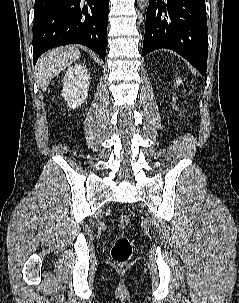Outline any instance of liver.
<instances>
[{
	"mask_svg": "<svg viewBox=\"0 0 239 303\" xmlns=\"http://www.w3.org/2000/svg\"><path fill=\"white\" fill-rule=\"evenodd\" d=\"M80 57L76 46L58 47L43 54L36 65L40 88L46 91L51 80Z\"/></svg>",
	"mask_w": 239,
	"mask_h": 303,
	"instance_id": "1",
	"label": "liver"
}]
</instances>
